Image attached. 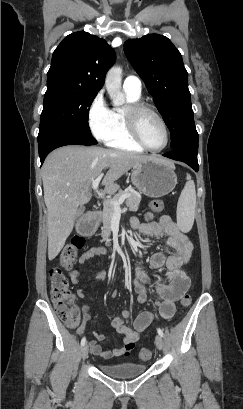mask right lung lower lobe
Wrapping results in <instances>:
<instances>
[{
    "label": "right lung lower lobe",
    "mask_w": 243,
    "mask_h": 409,
    "mask_svg": "<svg viewBox=\"0 0 243 409\" xmlns=\"http://www.w3.org/2000/svg\"><path fill=\"white\" fill-rule=\"evenodd\" d=\"M94 145L97 141L91 134L78 130L55 127L38 135L39 156L41 164L46 156L55 148L65 145Z\"/></svg>",
    "instance_id": "obj_1"
}]
</instances>
